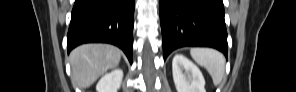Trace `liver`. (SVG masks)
Masks as SVG:
<instances>
[{
  "instance_id": "1",
  "label": "liver",
  "mask_w": 296,
  "mask_h": 92,
  "mask_svg": "<svg viewBox=\"0 0 296 92\" xmlns=\"http://www.w3.org/2000/svg\"><path fill=\"white\" fill-rule=\"evenodd\" d=\"M121 54L119 48L108 44L78 46L69 57L73 83L80 88L90 87L100 76L119 64Z\"/></svg>"
}]
</instances>
